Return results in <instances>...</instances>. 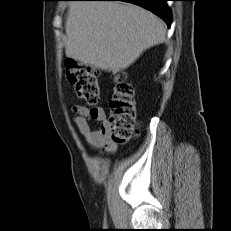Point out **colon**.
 <instances>
[{
    "instance_id": "5ec220e1",
    "label": "colon",
    "mask_w": 231,
    "mask_h": 231,
    "mask_svg": "<svg viewBox=\"0 0 231 231\" xmlns=\"http://www.w3.org/2000/svg\"><path fill=\"white\" fill-rule=\"evenodd\" d=\"M65 65L67 78L76 95L88 104L97 103L100 98L97 69L73 59H68ZM115 80L114 95L110 101V134L114 143L123 144L131 138L135 129L136 97L124 72H119Z\"/></svg>"
}]
</instances>
